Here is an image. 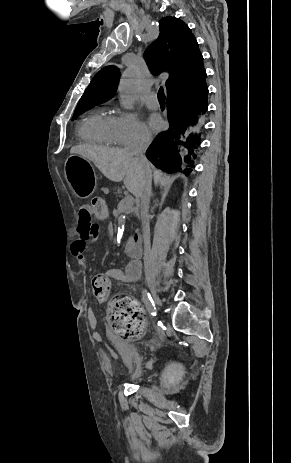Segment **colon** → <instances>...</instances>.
Returning a JSON list of instances; mask_svg holds the SVG:
<instances>
[{
  "instance_id": "5ec220e1",
  "label": "colon",
  "mask_w": 291,
  "mask_h": 463,
  "mask_svg": "<svg viewBox=\"0 0 291 463\" xmlns=\"http://www.w3.org/2000/svg\"><path fill=\"white\" fill-rule=\"evenodd\" d=\"M92 207L98 217H104L107 213L106 202L101 198L94 199ZM91 289L97 300L106 301L111 295V281L104 275H97L92 279ZM108 320L112 330L123 338H136L144 332V314L139 303L131 297H112L108 306Z\"/></svg>"
}]
</instances>
